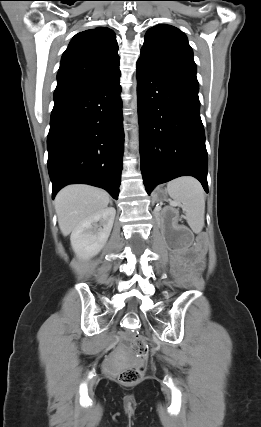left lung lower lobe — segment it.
<instances>
[{
	"label": "left lung lower lobe",
	"instance_id": "1",
	"mask_svg": "<svg viewBox=\"0 0 261 427\" xmlns=\"http://www.w3.org/2000/svg\"><path fill=\"white\" fill-rule=\"evenodd\" d=\"M141 171L148 194L176 177L197 178L208 193V157L196 75L137 61Z\"/></svg>",
	"mask_w": 261,
	"mask_h": 427
}]
</instances>
